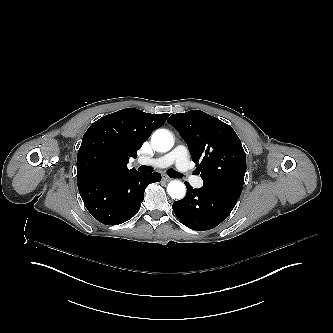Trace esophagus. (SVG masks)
Returning <instances> with one entry per match:
<instances>
[{"label":"esophagus","mask_w":333,"mask_h":333,"mask_svg":"<svg viewBox=\"0 0 333 333\" xmlns=\"http://www.w3.org/2000/svg\"><path fill=\"white\" fill-rule=\"evenodd\" d=\"M162 179H163L165 182H169V181L172 180L171 178H169V177H168L167 175H165V174L162 175Z\"/></svg>","instance_id":"34e87169"}]
</instances>
